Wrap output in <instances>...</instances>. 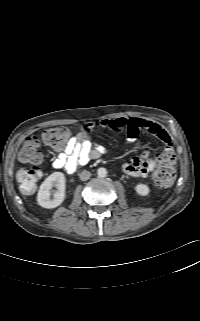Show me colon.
Returning a JSON list of instances; mask_svg holds the SVG:
<instances>
[{"mask_svg":"<svg viewBox=\"0 0 200 321\" xmlns=\"http://www.w3.org/2000/svg\"><path fill=\"white\" fill-rule=\"evenodd\" d=\"M70 137V131L66 127H54L43 134L44 142L56 150H62ZM19 158L23 162L32 164L23 167L17 172V181L24 193H32L41 178V170L37 164L41 160L40 140L35 135L28 136L19 152ZM158 166L153 174V181L158 188L171 186L176 179V161L173 152L162 153L158 157Z\"/></svg>","mask_w":200,"mask_h":321,"instance_id":"5ec220e1","label":"colon"}]
</instances>
